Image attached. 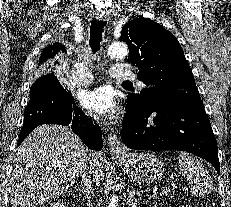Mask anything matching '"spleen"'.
<instances>
[{"mask_svg": "<svg viewBox=\"0 0 231 207\" xmlns=\"http://www.w3.org/2000/svg\"><path fill=\"white\" fill-rule=\"evenodd\" d=\"M179 166L182 174L191 184V193L194 196H202L213 190V181L204 166L188 153H182L179 157Z\"/></svg>", "mask_w": 231, "mask_h": 207, "instance_id": "spleen-1", "label": "spleen"}]
</instances>
